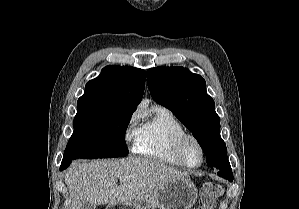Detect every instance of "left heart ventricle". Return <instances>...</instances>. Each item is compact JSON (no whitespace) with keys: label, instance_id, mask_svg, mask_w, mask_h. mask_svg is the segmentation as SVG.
Instances as JSON below:
<instances>
[{"label":"left heart ventricle","instance_id":"left-heart-ventricle-1","mask_svg":"<svg viewBox=\"0 0 299 209\" xmlns=\"http://www.w3.org/2000/svg\"><path fill=\"white\" fill-rule=\"evenodd\" d=\"M184 159L191 166L198 165L201 160V152L198 146L193 142H187L184 150Z\"/></svg>","mask_w":299,"mask_h":209}]
</instances>
